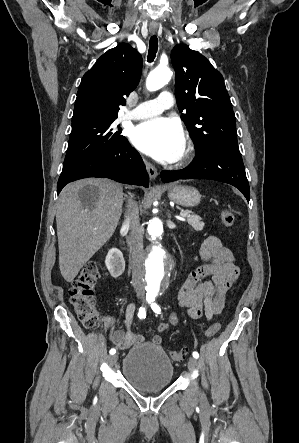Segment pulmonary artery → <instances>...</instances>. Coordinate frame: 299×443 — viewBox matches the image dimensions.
I'll list each match as a JSON object with an SVG mask.
<instances>
[{
  "label": "pulmonary artery",
  "mask_w": 299,
  "mask_h": 443,
  "mask_svg": "<svg viewBox=\"0 0 299 443\" xmlns=\"http://www.w3.org/2000/svg\"><path fill=\"white\" fill-rule=\"evenodd\" d=\"M173 105L174 98L172 93L169 91H163L159 94L157 99L139 103L136 108L125 113L124 118L133 120L151 118L159 115L164 110L171 108Z\"/></svg>",
  "instance_id": "pulmonary-artery-1"
}]
</instances>
